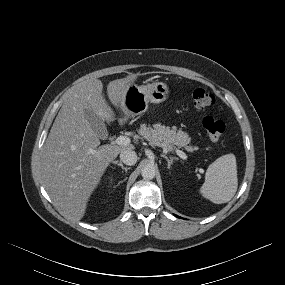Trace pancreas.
<instances>
[{
  "label": "pancreas",
  "mask_w": 285,
  "mask_h": 285,
  "mask_svg": "<svg viewBox=\"0 0 285 285\" xmlns=\"http://www.w3.org/2000/svg\"><path fill=\"white\" fill-rule=\"evenodd\" d=\"M139 134L146 139L150 145L158 146L168 151H173L175 148H185L187 151H193L196 148L187 146L190 143V137L187 133L165 127L161 124H154L153 127L146 124L141 125Z\"/></svg>",
  "instance_id": "obj_1"
}]
</instances>
